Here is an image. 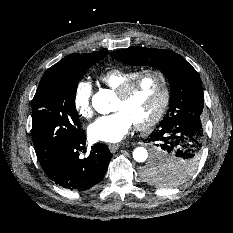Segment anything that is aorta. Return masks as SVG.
Here are the masks:
<instances>
[{
  "label": "aorta",
  "instance_id": "obj_1",
  "mask_svg": "<svg viewBox=\"0 0 233 233\" xmlns=\"http://www.w3.org/2000/svg\"><path fill=\"white\" fill-rule=\"evenodd\" d=\"M113 98L114 94L111 90L101 89L92 97L93 108L100 114H108L111 112L110 102ZM133 158L137 162H144L148 158V152L144 147H137L133 151Z\"/></svg>",
  "mask_w": 233,
  "mask_h": 233
}]
</instances>
